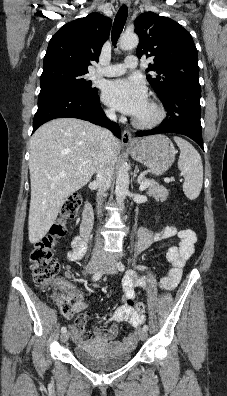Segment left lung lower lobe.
Returning a JSON list of instances; mask_svg holds the SVG:
<instances>
[{
	"label": "left lung lower lobe",
	"mask_w": 227,
	"mask_h": 396,
	"mask_svg": "<svg viewBox=\"0 0 227 396\" xmlns=\"http://www.w3.org/2000/svg\"><path fill=\"white\" fill-rule=\"evenodd\" d=\"M201 88H181L172 90L160 99L167 110V117L156 128L147 131H137L136 136L161 133L183 134L193 139L202 149V128L200 122Z\"/></svg>",
	"instance_id": "obj_1"
}]
</instances>
